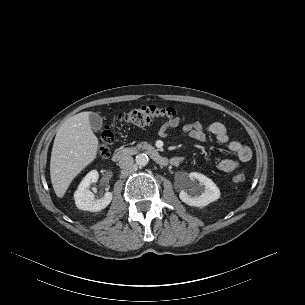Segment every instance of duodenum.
<instances>
[{
  "instance_id": "obj_1",
  "label": "duodenum",
  "mask_w": 305,
  "mask_h": 305,
  "mask_svg": "<svg viewBox=\"0 0 305 305\" xmlns=\"http://www.w3.org/2000/svg\"><path fill=\"white\" fill-rule=\"evenodd\" d=\"M139 152L148 154L156 163L161 166H166L169 163V160L164 155H162L155 147L150 145H139L118 149L113 153L112 158L115 162H118L127 156L135 155Z\"/></svg>"
}]
</instances>
